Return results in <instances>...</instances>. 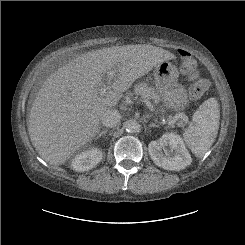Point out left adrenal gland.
Segmentation results:
<instances>
[{
	"mask_svg": "<svg viewBox=\"0 0 245 245\" xmlns=\"http://www.w3.org/2000/svg\"><path fill=\"white\" fill-rule=\"evenodd\" d=\"M149 127H158V125L152 123V124L149 125Z\"/></svg>",
	"mask_w": 245,
	"mask_h": 245,
	"instance_id": "a2214340",
	"label": "left adrenal gland"
}]
</instances>
